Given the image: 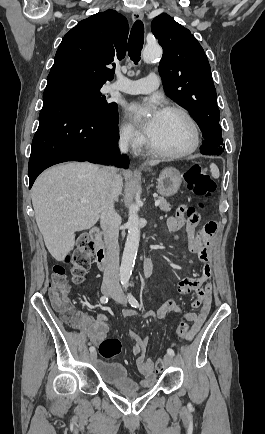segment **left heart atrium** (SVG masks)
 Returning a JSON list of instances; mask_svg holds the SVG:
<instances>
[{"mask_svg":"<svg viewBox=\"0 0 265 434\" xmlns=\"http://www.w3.org/2000/svg\"><path fill=\"white\" fill-rule=\"evenodd\" d=\"M149 101H154V99H150ZM129 111L133 122L141 127L149 138L153 137L162 115V112L157 105L153 102L148 104H132L129 107ZM145 111H149L150 116L148 119L144 120L141 117V114Z\"/></svg>","mask_w":265,"mask_h":434,"instance_id":"obj_1","label":"left heart atrium"}]
</instances>
